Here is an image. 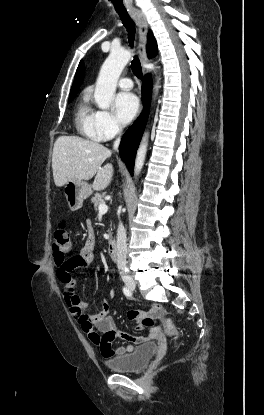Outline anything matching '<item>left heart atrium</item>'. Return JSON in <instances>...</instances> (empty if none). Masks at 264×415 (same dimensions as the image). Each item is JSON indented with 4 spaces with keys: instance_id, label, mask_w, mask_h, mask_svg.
I'll use <instances>...</instances> for the list:
<instances>
[{
    "instance_id": "1",
    "label": "left heart atrium",
    "mask_w": 264,
    "mask_h": 415,
    "mask_svg": "<svg viewBox=\"0 0 264 415\" xmlns=\"http://www.w3.org/2000/svg\"><path fill=\"white\" fill-rule=\"evenodd\" d=\"M138 99L132 93L122 92L115 97V112L121 123H129L137 114Z\"/></svg>"
}]
</instances>
